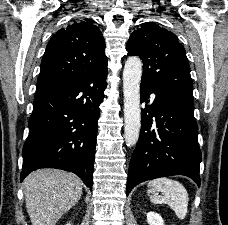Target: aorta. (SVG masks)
I'll use <instances>...</instances> for the list:
<instances>
[{
	"label": "aorta",
	"instance_id": "1",
	"mask_svg": "<svg viewBox=\"0 0 228 225\" xmlns=\"http://www.w3.org/2000/svg\"><path fill=\"white\" fill-rule=\"evenodd\" d=\"M142 60L138 56H129L123 70L124 92V139L127 147L138 143L141 129L140 82Z\"/></svg>",
	"mask_w": 228,
	"mask_h": 225
}]
</instances>
